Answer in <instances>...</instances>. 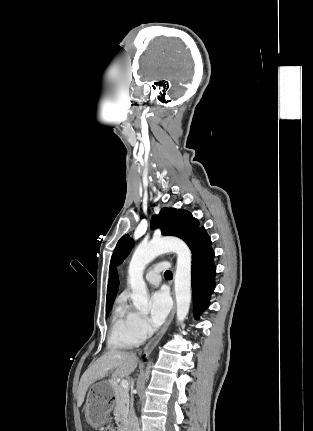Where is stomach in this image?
Wrapping results in <instances>:
<instances>
[{
	"instance_id": "1",
	"label": "stomach",
	"mask_w": 313,
	"mask_h": 431,
	"mask_svg": "<svg viewBox=\"0 0 313 431\" xmlns=\"http://www.w3.org/2000/svg\"><path fill=\"white\" fill-rule=\"evenodd\" d=\"M113 381H100L91 385L85 405V416L93 427H100L107 423L114 406Z\"/></svg>"
}]
</instances>
